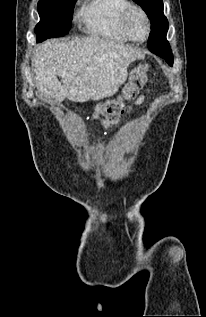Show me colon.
I'll return each instance as SVG.
<instances>
[{
	"mask_svg": "<svg viewBox=\"0 0 206 317\" xmlns=\"http://www.w3.org/2000/svg\"><path fill=\"white\" fill-rule=\"evenodd\" d=\"M148 67L145 64L135 67L123 85L120 94L113 99L107 100L97 106L93 119L99 121L104 127H109L118 122L124 110V103L126 100L137 96L140 89L147 81Z\"/></svg>",
	"mask_w": 206,
	"mask_h": 317,
	"instance_id": "obj_1",
	"label": "colon"
}]
</instances>
